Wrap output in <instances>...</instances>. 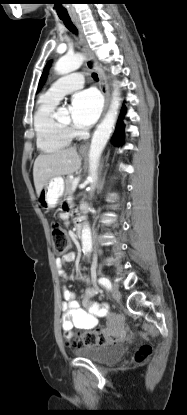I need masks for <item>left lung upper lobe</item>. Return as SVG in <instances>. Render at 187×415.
Returning <instances> with one entry per match:
<instances>
[{
    "label": "left lung upper lobe",
    "instance_id": "5c2ea615",
    "mask_svg": "<svg viewBox=\"0 0 187 415\" xmlns=\"http://www.w3.org/2000/svg\"><path fill=\"white\" fill-rule=\"evenodd\" d=\"M48 68H49V65H47V66L44 68V71H43L42 76H41L40 81H39L38 91L41 89V87H42V86H43V84L45 83Z\"/></svg>",
    "mask_w": 187,
    "mask_h": 415
}]
</instances>
